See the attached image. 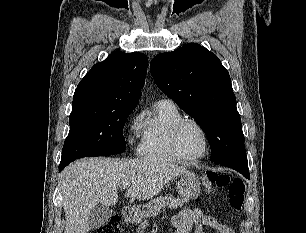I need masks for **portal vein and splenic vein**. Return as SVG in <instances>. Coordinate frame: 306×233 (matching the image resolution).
Returning a JSON list of instances; mask_svg holds the SVG:
<instances>
[{
	"mask_svg": "<svg viewBox=\"0 0 306 233\" xmlns=\"http://www.w3.org/2000/svg\"><path fill=\"white\" fill-rule=\"evenodd\" d=\"M129 187H130V184H124V185H123V188H124V189H128Z\"/></svg>",
	"mask_w": 306,
	"mask_h": 233,
	"instance_id": "portal-vein-and-splenic-vein-1",
	"label": "portal vein and splenic vein"
}]
</instances>
